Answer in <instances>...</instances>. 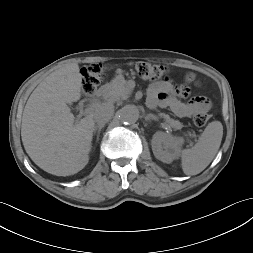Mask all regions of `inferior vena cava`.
<instances>
[{
	"instance_id": "602c4592",
	"label": "inferior vena cava",
	"mask_w": 253,
	"mask_h": 253,
	"mask_svg": "<svg viewBox=\"0 0 253 253\" xmlns=\"http://www.w3.org/2000/svg\"><path fill=\"white\" fill-rule=\"evenodd\" d=\"M114 113L113 105L103 103L94 112V120L98 125H103L108 122Z\"/></svg>"
}]
</instances>
